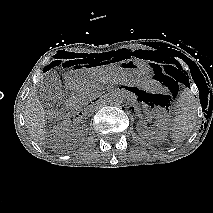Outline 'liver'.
Instances as JSON below:
<instances>
[{"mask_svg":"<svg viewBox=\"0 0 213 213\" xmlns=\"http://www.w3.org/2000/svg\"><path fill=\"white\" fill-rule=\"evenodd\" d=\"M114 68L109 69H98V77H101L103 74L114 71ZM46 111L41 105L38 96L37 90L34 89L31 91L26 100V105L24 108V118L25 124L30 134L31 138L40 146L45 145L46 138Z\"/></svg>","mask_w":213,"mask_h":213,"instance_id":"obj_1","label":"liver"}]
</instances>
